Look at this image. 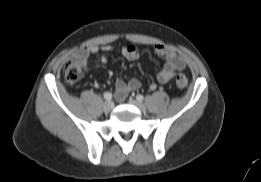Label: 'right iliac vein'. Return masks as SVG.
Listing matches in <instances>:
<instances>
[{
    "instance_id": "1",
    "label": "right iliac vein",
    "mask_w": 261,
    "mask_h": 182,
    "mask_svg": "<svg viewBox=\"0 0 261 182\" xmlns=\"http://www.w3.org/2000/svg\"><path fill=\"white\" fill-rule=\"evenodd\" d=\"M113 107H114V104H113L111 101H107V102H105V103L103 104V110H104L105 112L111 111V110L113 109Z\"/></svg>"
}]
</instances>
